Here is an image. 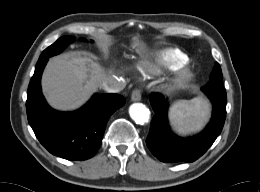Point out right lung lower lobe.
Listing matches in <instances>:
<instances>
[{
    "mask_svg": "<svg viewBox=\"0 0 260 192\" xmlns=\"http://www.w3.org/2000/svg\"><path fill=\"white\" fill-rule=\"evenodd\" d=\"M47 60L37 62L27 92V117L40 143L53 155L86 160L99 149L110 116L125 104L118 94H95L81 109L58 112L45 101L41 75Z\"/></svg>",
    "mask_w": 260,
    "mask_h": 192,
    "instance_id": "right-lung-lower-lobe-1",
    "label": "right lung lower lobe"
}]
</instances>
